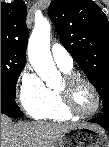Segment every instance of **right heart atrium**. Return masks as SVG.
I'll return each mask as SVG.
<instances>
[{
	"label": "right heart atrium",
	"instance_id": "obj_1",
	"mask_svg": "<svg viewBox=\"0 0 109 147\" xmlns=\"http://www.w3.org/2000/svg\"><path fill=\"white\" fill-rule=\"evenodd\" d=\"M16 96L30 115L36 110L48 106L53 97L52 91L29 66H26L20 73Z\"/></svg>",
	"mask_w": 109,
	"mask_h": 147
}]
</instances>
